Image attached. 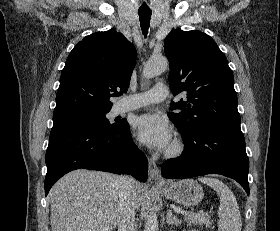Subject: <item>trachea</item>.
<instances>
[{"instance_id": "3493384b", "label": "trachea", "mask_w": 280, "mask_h": 231, "mask_svg": "<svg viewBox=\"0 0 280 231\" xmlns=\"http://www.w3.org/2000/svg\"><path fill=\"white\" fill-rule=\"evenodd\" d=\"M138 14L143 35L146 36L150 26L152 12L151 10H138Z\"/></svg>"}]
</instances>
